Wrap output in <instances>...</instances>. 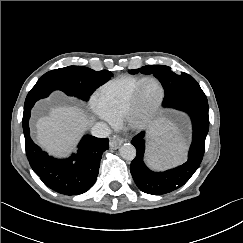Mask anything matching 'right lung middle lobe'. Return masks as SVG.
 I'll return each instance as SVG.
<instances>
[{"label": "right lung middle lobe", "mask_w": 243, "mask_h": 243, "mask_svg": "<svg viewBox=\"0 0 243 243\" xmlns=\"http://www.w3.org/2000/svg\"><path fill=\"white\" fill-rule=\"evenodd\" d=\"M111 76L108 70L94 71L87 67L68 66L47 72L32 89L60 90L68 96L87 101Z\"/></svg>", "instance_id": "obj_1"}]
</instances>
